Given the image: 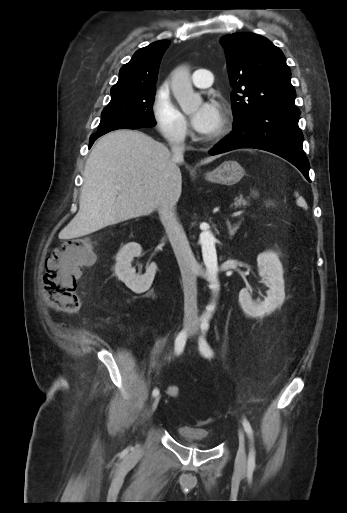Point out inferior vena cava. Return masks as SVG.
<instances>
[{"mask_svg": "<svg viewBox=\"0 0 347 513\" xmlns=\"http://www.w3.org/2000/svg\"><path fill=\"white\" fill-rule=\"evenodd\" d=\"M171 153L175 162L183 161L184 144L179 140L170 142ZM178 197L173 191V186L164 188L160 193L157 204L158 213L162 223L167 229V234L174 254L178 261L184 291V313L191 319L197 318V285L196 270L197 262L189 246L184 230L178 221L176 213V202Z\"/></svg>", "mask_w": 347, "mask_h": 513, "instance_id": "obj_1", "label": "inferior vena cava"}]
</instances>
